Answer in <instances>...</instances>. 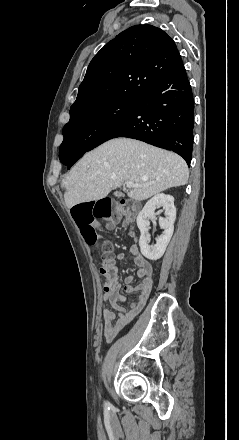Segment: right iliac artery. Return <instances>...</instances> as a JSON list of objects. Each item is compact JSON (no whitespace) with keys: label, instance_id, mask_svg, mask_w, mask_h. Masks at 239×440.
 Listing matches in <instances>:
<instances>
[{"label":"right iliac artery","instance_id":"obj_1","mask_svg":"<svg viewBox=\"0 0 239 440\" xmlns=\"http://www.w3.org/2000/svg\"><path fill=\"white\" fill-rule=\"evenodd\" d=\"M109 407H110V404L108 402H105V408L109 409Z\"/></svg>","mask_w":239,"mask_h":440}]
</instances>
